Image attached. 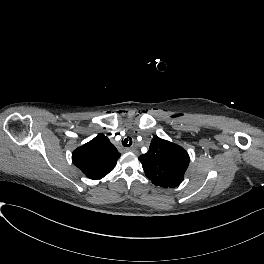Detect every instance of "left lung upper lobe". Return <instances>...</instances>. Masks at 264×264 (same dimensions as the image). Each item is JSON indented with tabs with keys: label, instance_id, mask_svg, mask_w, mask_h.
Masks as SVG:
<instances>
[{
	"label": "left lung upper lobe",
	"instance_id": "5c2ea615",
	"mask_svg": "<svg viewBox=\"0 0 264 264\" xmlns=\"http://www.w3.org/2000/svg\"><path fill=\"white\" fill-rule=\"evenodd\" d=\"M146 176L157 186L177 187L184 179L189 155L180 146L154 137L149 151L139 157Z\"/></svg>",
	"mask_w": 264,
	"mask_h": 264
}]
</instances>
